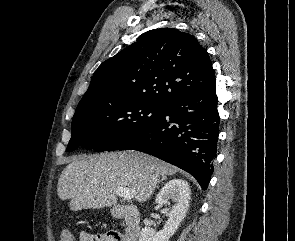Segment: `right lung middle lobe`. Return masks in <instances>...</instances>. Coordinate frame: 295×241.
<instances>
[{
  "instance_id": "dd1d6c3e",
  "label": "right lung middle lobe",
  "mask_w": 295,
  "mask_h": 241,
  "mask_svg": "<svg viewBox=\"0 0 295 241\" xmlns=\"http://www.w3.org/2000/svg\"><path fill=\"white\" fill-rule=\"evenodd\" d=\"M163 106L114 94L81 99L71 124V152L82 146L95 151L116 150L127 138L157 118Z\"/></svg>"
}]
</instances>
